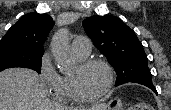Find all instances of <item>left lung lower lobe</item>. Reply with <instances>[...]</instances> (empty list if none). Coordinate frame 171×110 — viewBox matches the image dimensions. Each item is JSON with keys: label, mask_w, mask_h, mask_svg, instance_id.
I'll list each match as a JSON object with an SVG mask.
<instances>
[{"label": "left lung lower lobe", "mask_w": 171, "mask_h": 110, "mask_svg": "<svg viewBox=\"0 0 171 110\" xmlns=\"http://www.w3.org/2000/svg\"><path fill=\"white\" fill-rule=\"evenodd\" d=\"M145 86L149 87L151 90H153L157 94L156 88L154 87L153 84H148V85H145Z\"/></svg>", "instance_id": "0a47b994"}]
</instances>
